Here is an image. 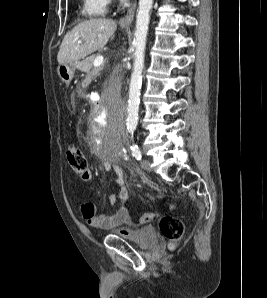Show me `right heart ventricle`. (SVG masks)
<instances>
[{
    "instance_id": "right-heart-ventricle-1",
    "label": "right heart ventricle",
    "mask_w": 267,
    "mask_h": 298,
    "mask_svg": "<svg viewBox=\"0 0 267 298\" xmlns=\"http://www.w3.org/2000/svg\"><path fill=\"white\" fill-rule=\"evenodd\" d=\"M107 0H81V14L86 18H101L106 13Z\"/></svg>"
}]
</instances>
